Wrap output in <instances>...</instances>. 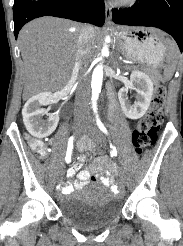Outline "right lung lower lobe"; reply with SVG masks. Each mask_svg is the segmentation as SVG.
<instances>
[{
	"instance_id": "1",
	"label": "right lung lower lobe",
	"mask_w": 183,
	"mask_h": 246,
	"mask_svg": "<svg viewBox=\"0 0 183 246\" xmlns=\"http://www.w3.org/2000/svg\"><path fill=\"white\" fill-rule=\"evenodd\" d=\"M42 16H55L102 26L105 21L104 0H15V38L17 39L24 24Z\"/></svg>"
}]
</instances>
